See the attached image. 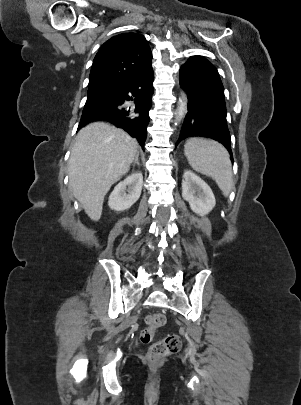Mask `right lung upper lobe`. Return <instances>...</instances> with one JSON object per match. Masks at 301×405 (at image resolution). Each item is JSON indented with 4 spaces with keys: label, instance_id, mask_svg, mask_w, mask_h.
Instances as JSON below:
<instances>
[{
    "label": "right lung upper lobe",
    "instance_id": "right-lung-upper-lobe-1",
    "mask_svg": "<svg viewBox=\"0 0 301 405\" xmlns=\"http://www.w3.org/2000/svg\"><path fill=\"white\" fill-rule=\"evenodd\" d=\"M151 60L152 52L143 35L122 33L113 36L101 46L93 60L88 91L117 92Z\"/></svg>",
    "mask_w": 301,
    "mask_h": 405
}]
</instances>
